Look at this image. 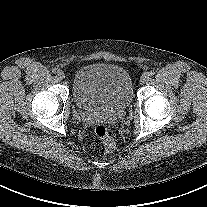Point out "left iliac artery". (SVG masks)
<instances>
[{
  "instance_id": "obj_1",
  "label": "left iliac artery",
  "mask_w": 207,
  "mask_h": 207,
  "mask_svg": "<svg viewBox=\"0 0 207 207\" xmlns=\"http://www.w3.org/2000/svg\"><path fill=\"white\" fill-rule=\"evenodd\" d=\"M147 74H148L149 76H153V75L155 74V72H154L153 70H151V71L147 72Z\"/></svg>"
}]
</instances>
